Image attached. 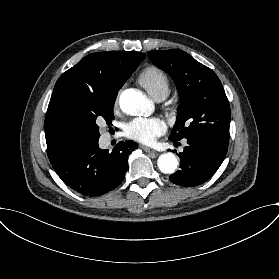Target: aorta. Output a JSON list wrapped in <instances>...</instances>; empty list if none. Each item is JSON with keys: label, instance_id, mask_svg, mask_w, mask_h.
Wrapping results in <instances>:
<instances>
[{"label": "aorta", "instance_id": "obj_1", "mask_svg": "<svg viewBox=\"0 0 279 279\" xmlns=\"http://www.w3.org/2000/svg\"><path fill=\"white\" fill-rule=\"evenodd\" d=\"M119 104L123 112L130 115H147L152 112L153 105L143 92L137 89H126L122 92ZM158 168L164 174H173L178 166V160L172 152L159 156Z\"/></svg>", "mask_w": 279, "mask_h": 279}]
</instances>
